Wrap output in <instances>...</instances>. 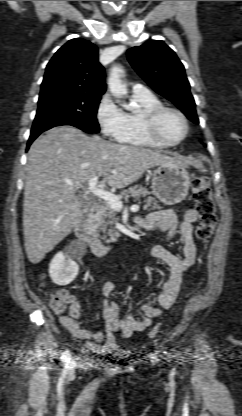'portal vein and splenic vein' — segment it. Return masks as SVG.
Returning <instances> with one entry per match:
<instances>
[{"instance_id":"18ae733b","label":"portal vein and splenic vein","mask_w":242,"mask_h":416,"mask_svg":"<svg viewBox=\"0 0 242 416\" xmlns=\"http://www.w3.org/2000/svg\"><path fill=\"white\" fill-rule=\"evenodd\" d=\"M99 176L92 177L88 182V190L91 191L95 196L99 197L100 199H103L106 201L113 209L120 211L123 208V203L121 199L114 195L113 193H110L102 188L97 187ZM139 209L138 205H132L130 207V210L136 211Z\"/></svg>"}]
</instances>
